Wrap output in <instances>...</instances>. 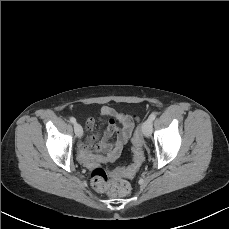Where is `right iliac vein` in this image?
Returning a JSON list of instances; mask_svg holds the SVG:
<instances>
[{
    "mask_svg": "<svg viewBox=\"0 0 229 229\" xmlns=\"http://www.w3.org/2000/svg\"><path fill=\"white\" fill-rule=\"evenodd\" d=\"M74 131H75L76 136L79 137V138H80V137L82 136V134H83L82 126H81L80 124H78V123H76V124L74 125Z\"/></svg>",
    "mask_w": 229,
    "mask_h": 229,
    "instance_id": "63e3f726",
    "label": "right iliac vein"
}]
</instances>
